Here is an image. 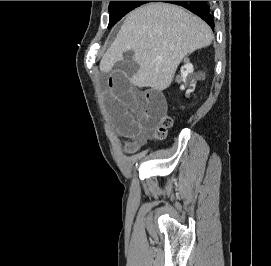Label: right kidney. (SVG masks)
<instances>
[{
	"label": "right kidney",
	"mask_w": 271,
	"mask_h": 266,
	"mask_svg": "<svg viewBox=\"0 0 271 266\" xmlns=\"http://www.w3.org/2000/svg\"><path fill=\"white\" fill-rule=\"evenodd\" d=\"M194 69H193V65L191 63H187L185 64L182 68H181V78L182 81L187 84L188 82H190V84L192 86L195 87V80L192 77V73H193ZM181 90H184V86L182 85ZM193 89H188L186 91V94L189 95L191 92H193Z\"/></svg>",
	"instance_id": "right-kidney-1"
}]
</instances>
